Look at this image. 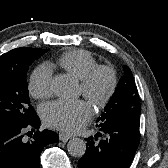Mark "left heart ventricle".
I'll return each instance as SVG.
<instances>
[{
    "label": "left heart ventricle",
    "mask_w": 168,
    "mask_h": 168,
    "mask_svg": "<svg viewBox=\"0 0 168 168\" xmlns=\"http://www.w3.org/2000/svg\"><path fill=\"white\" fill-rule=\"evenodd\" d=\"M105 88H106V79L104 77H101L97 82L96 90L98 92H102ZM80 91L82 92L81 86H80Z\"/></svg>",
    "instance_id": "left-heart-ventricle-1"
}]
</instances>
